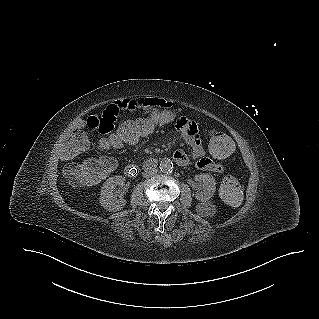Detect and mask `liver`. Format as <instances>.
<instances>
[{
    "label": "liver",
    "mask_w": 319,
    "mask_h": 319,
    "mask_svg": "<svg viewBox=\"0 0 319 319\" xmlns=\"http://www.w3.org/2000/svg\"><path fill=\"white\" fill-rule=\"evenodd\" d=\"M68 183L72 185V187H77L76 185H74V183L71 180H69Z\"/></svg>",
    "instance_id": "6515ba94"
}]
</instances>
